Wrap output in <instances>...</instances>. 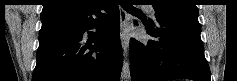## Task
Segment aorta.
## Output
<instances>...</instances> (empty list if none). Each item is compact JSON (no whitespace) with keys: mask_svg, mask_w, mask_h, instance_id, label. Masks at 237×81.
<instances>
[{"mask_svg":"<svg viewBox=\"0 0 237 81\" xmlns=\"http://www.w3.org/2000/svg\"><path fill=\"white\" fill-rule=\"evenodd\" d=\"M130 80H131V74H130L129 62L124 60L121 71V81H130Z\"/></svg>","mask_w":237,"mask_h":81,"instance_id":"1","label":"aorta"}]
</instances>
